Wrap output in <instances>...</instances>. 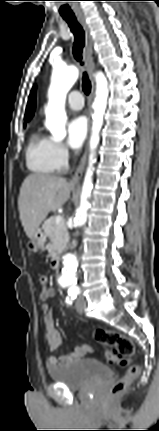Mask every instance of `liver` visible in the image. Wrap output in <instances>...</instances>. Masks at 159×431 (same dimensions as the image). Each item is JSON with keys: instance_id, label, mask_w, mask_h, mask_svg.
<instances>
[{"instance_id": "1", "label": "liver", "mask_w": 159, "mask_h": 431, "mask_svg": "<svg viewBox=\"0 0 159 431\" xmlns=\"http://www.w3.org/2000/svg\"><path fill=\"white\" fill-rule=\"evenodd\" d=\"M73 185L63 177L30 174L22 183L18 198L20 220L28 238L39 230L50 211L61 208L69 199Z\"/></svg>"}]
</instances>
